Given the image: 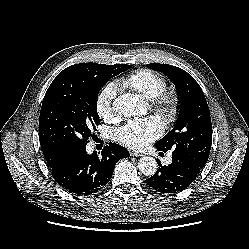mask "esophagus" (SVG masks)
Instances as JSON below:
<instances>
[{"label": "esophagus", "mask_w": 249, "mask_h": 249, "mask_svg": "<svg viewBox=\"0 0 249 249\" xmlns=\"http://www.w3.org/2000/svg\"><path fill=\"white\" fill-rule=\"evenodd\" d=\"M130 155L134 156V157H141V156H143V154L138 153V152H134V151H130Z\"/></svg>", "instance_id": "34e87169"}]
</instances>
